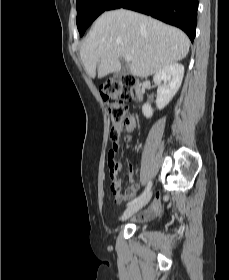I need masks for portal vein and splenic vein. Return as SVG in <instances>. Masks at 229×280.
<instances>
[{
    "instance_id": "1",
    "label": "portal vein and splenic vein",
    "mask_w": 229,
    "mask_h": 280,
    "mask_svg": "<svg viewBox=\"0 0 229 280\" xmlns=\"http://www.w3.org/2000/svg\"><path fill=\"white\" fill-rule=\"evenodd\" d=\"M132 59H133V57L130 56V55L125 56V61H126V62H130V61H132Z\"/></svg>"
}]
</instances>
